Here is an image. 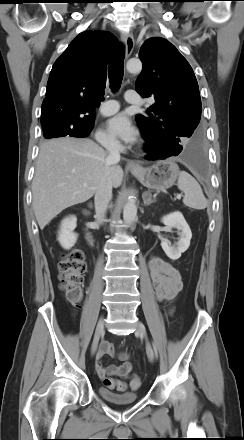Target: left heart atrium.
Returning a JSON list of instances; mask_svg holds the SVG:
<instances>
[{"mask_svg": "<svg viewBox=\"0 0 244 440\" xmlns=\"http://www.w3.org/2000/svg\"><path fill=\"white\" fill-rule=\"evenodd\" d=\"M108 131L126 143H133L137 138V130L125 113L112 117L107 124Z\"/></svg>", "mask_w": 244, "mask_h": 440, "instance_id": "39dd6f15", "label": "left heart atrium"}]
</instances>
